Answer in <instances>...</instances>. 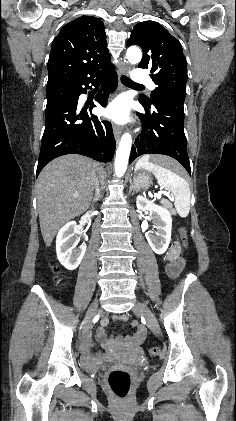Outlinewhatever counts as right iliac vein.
Wrapping results in <instances>:
<instances>
[{
    "label": "right iliac vein",
    "mask_w": 236,
    "mask_h": 421,
    "mask_svg": "<svg viewBox=\"0 0 236 421\" xmlns=\"http://www.w3.org/2000/svg\"><path fill=\"white\" fill-rule=\"evenodd\" d=\"M97 307H98L97 301H94V302L90 305V307H89V310H88V312H87L86 322H85L84 329H83V335H84V336H85V335L89 332V330L91 329V326H92V320H93V318H94V316H95V314H96Z\"/></svg>",
    "instance_id": "obj_1"
}]
</instances>
